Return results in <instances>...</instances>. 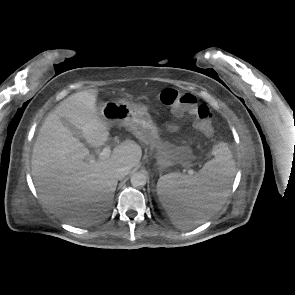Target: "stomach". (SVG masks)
<instances>
[{
    "label": "stomach",
    "mask_w": 295,
    "mask_h": 295,
    "mask_svg": "<svg viewBox=\"0 0 295 295\" xmlns=\"http://www.w3.org/2000/svg\"><path fill=\"white\" fill-rule=\"evenodd\" d=\"M100 115L109 125L125 126L139 140L150 145L160 168H167L182 159L183 149L160 140L148 108L126 100L109 101L102 105Z\"/></svg>",
    "instance_id": "0dacf381"
}]
</instances>
